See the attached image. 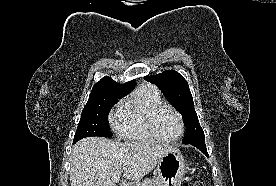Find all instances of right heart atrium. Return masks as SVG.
<instances>
[{"label": "right heart atrium", "instance_id": "1", "mask_svg": "<svg viewBox=\"0 0 276 186\" xmlns=\"http://www.w3.org/2000/svg\"><path fill=\"white\" fill-rule=\"evenodd\" d=\"M119 113H120V110H119V112H118V114H117V118L114 119V121H113L114 125H117Z\"/></svg>", "mask_w": 276, "mask_h": 186}]
</instances>
